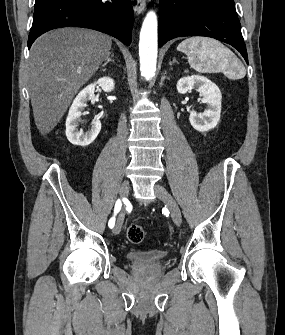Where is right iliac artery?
<instances>
[{"instance_id": "1", "label": "right iliac artery", "mask_w": 285, "mask_h": 335, "mask_svg": "<svg viewBox=\"0 0 285 335\" xmlns=\"http://www.w3.org/2000/svg\"><path fill=\"white\" fill-rule=\"evenodd\" d=\"M121 206H122L121 201H120V200H117V201H116V204H115V208H114V215H116V214L120 211ZM114 225H115V216H113V217L109 220V222H108V226H109L110 228H113Z\"/></svg>"}]
</instances>
